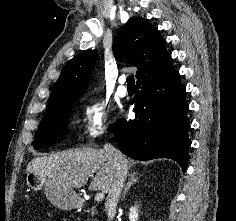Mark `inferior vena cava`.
I'll return each mask as SVG.
<instances>
[{"instance_id":"1","label":"inferior vena cava","mask_w":236,"mask_h":221,"mask_svg":"<svg viewBox=\"0 0 236 221\" xmlns=\"http://www.w3.org/2000/svg\"><path fill=\"white\" fill-rule=\"evenodd\" d=\"M104 152L112 166V181L105 201V211L107 214L116 211L124 182L127 176V166L123 154L111 144L104 145Z\"/></svg>"}]
</instances>
